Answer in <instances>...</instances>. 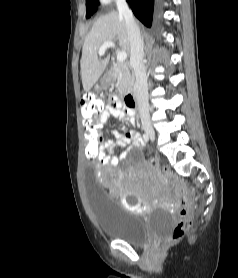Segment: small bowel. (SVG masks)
Instances as JSON below:
<instances>
[{"mask_svg": "<svg viewBox=\"0 0 238 278\" xmlns=\"http://www.w3.org/2000/svg\"><path fill=\"white\" fill-rule=\"evenodd\" d=\"M110 117H116L122 121H129L131 124H134L136 121L134 110L117 95L111 97L110 104L101 113L97 122H102L104 127L107 119ZM110 133L112 137L116 139V141L114 142L113 139L110 137L107 139H103L104 146H102L101 149V156H98V159H96L102 165H115L118 162L117 157L110 156L107 153L108 149L117 150L124 148L125 146H128L130 144H133L135 147L143 146V141L140 135L135 130H129L125 133L113 130ZM126 156L127 152L124 151L121 153L120 158H125Z\"/></svg>", "mask_w": 238, "mask_h": 278, "instance_id": "c3829d8e", "label": "small bowel"}]
</instances>
